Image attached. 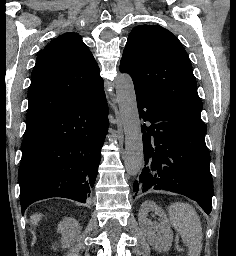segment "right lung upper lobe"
Returning a JSON list of instances; mask_svg holds the SVG:
<instances>
[{
    "instance_id": "1",
    "label": "right lung upper lobe",
    "mask_w": 236,
    "mask_h": 256,
    "mask_svg": "<svg viewBox=\"0 0 236 256\" xmlns=\"http://www.w3.org/2000/svg\"><path fill=\"white\" fill-rule=\"evenodd\" d=\"M102 87L99 67L81 36L62 34L37 56L28 92L26 124H36Z\"/></svg>"
}]
</instances>
